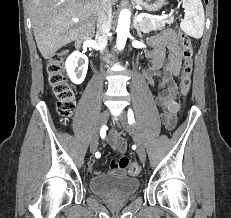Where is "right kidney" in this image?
<instances>
[{
    "label": "right kidney",
    "mask_w": 231,
    "mask_h": 218,
    "mask_svg": "<svg viewBox=\"0 0 231 218\" xmlns=\"http://www.w3.org/2000/svg\"><path fill=\"white\" fill-rule=\"evenodd\" d=\"M67 73L74 84H81L87 73L88 58L86 55L74 51L65 63Z\"/></svg>",
    "instance_id": "ca27d5eb"
}]
</instances>
